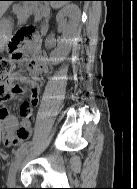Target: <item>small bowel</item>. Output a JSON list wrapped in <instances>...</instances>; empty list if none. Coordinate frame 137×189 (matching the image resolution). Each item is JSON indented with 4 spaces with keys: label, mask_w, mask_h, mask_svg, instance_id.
<instances>
[{
    "label": "small bowel",
    "mask_w": 137,
    "mask_h": 189,
    "mask_svg": "<svg viewBox=\"0 0 137 189\" xmlns=\"http://www.w3.org/2000/svg\"><path fill=\"white\" fill-rule=\"evenodd\" d=\"M47 70L48 64L45 59L35 60L31 65L32 79L21 72H14L7 83L0 85V136L6 146H19L28 139L33 118V113L27 115V111L23 110L21 105L18 121L14 115L10 114L7 108L8 102L27 89L29 100L25 102H28L32 108L36 106L41 92L40 75L46 73Z\"/></svg>",
    "instance_id": "obj_1"
}]
</instances>
